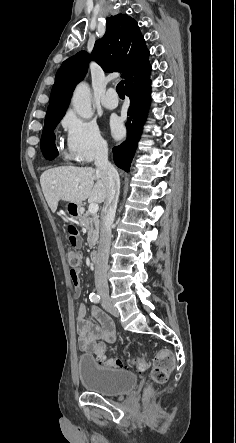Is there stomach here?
I'll use <instances>...</instances> for the list:
<instances>
[{
    "instance_id": "1",
    "label": "stomach",
    "mask_w": 236,
    "mask_h": 443,
    "mask_svg": "<svg viewBox=\"0 0 236 443\" xmlns=\"http://www.w3.org/2000/svg\"><path fill=\"white\" fill-rule=\"evenodd\" d=\"M66 213L74 219H78L81 216V204L68 203L66 206Z\"/></svg>"
}]
</instances>
